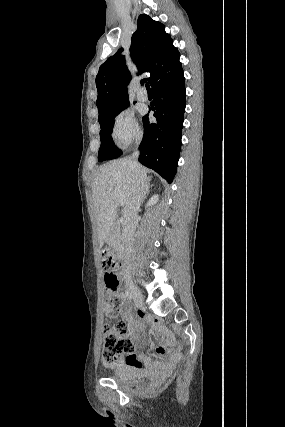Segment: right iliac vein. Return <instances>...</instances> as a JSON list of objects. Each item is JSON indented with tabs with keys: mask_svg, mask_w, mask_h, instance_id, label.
Instances as JSON below:
<instances>
[{
	"mask_svg": "<svg viewBox=\"0 0 285 427\" xmlns=\"http://www.w3.org/2000/svg\"><path fill=\"white\" fill-rule=\"evenodd\" d=\"M127 287L129 289L130 293L132 294L137 307H143V305H144L143 295H142L141 291L137 287H135L132 280L127 281Z\"/></svg>",
	"mask_w": 285,
	"mask_h": 427,
	"instance_id": "right-iliac-vein-1",
	"label": "right iliac vein"
}]
</instances>
